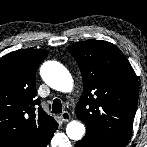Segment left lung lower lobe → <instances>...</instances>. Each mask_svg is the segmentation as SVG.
<instances>
[{
  "label": "left lung lower lobe",
  "instance_id": "1",
  "mask_svg": "<svg viewBox=\"0 0 147 147\" xmlns=\"http://www.w3.org/2000/svg\"><path fill=\"white\" fill-rule=\"evenodd\" d=\"M76 147H101V146L95 144L91 140L84 137L81 140L77 141Z\"/></svg>",
  "mask_w": 147,
  "mask_h": 147
}]
</instances>
